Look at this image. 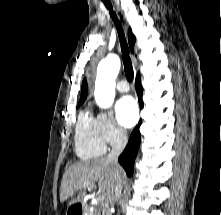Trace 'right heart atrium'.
Wrapping results in <instances>:
<instances>
[{"mask_svg": "<svg viewBox=\"0 0 221 215\" xmlns=\"http://www.w3.org/2000/svg\"><path fill=\"white\" fill-rule=\"evenodd\" d=\"M99 138L105 145H118L126 139V132L110 112H99L95 117Z\"/></svg>", "mask_w": 221, "mask_h": 215, "instance_id": "d8ad5b80", "label": "right heart atrium"}]
</instances>
